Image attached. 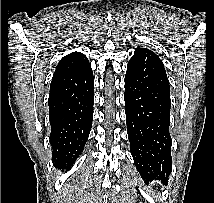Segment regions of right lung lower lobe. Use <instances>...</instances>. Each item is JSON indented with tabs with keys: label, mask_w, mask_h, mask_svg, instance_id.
I'll list each match as a JSON object with an SVG mask.
<instances>
[{
	"label": "right lung lower lobe",
	"mask_w": 214,
	"mask_h": 203,
	"mask_svg": "<svg viewBox=\"0 0 214 203\" xmlns=\"http://www.w3.org/2000/svg\"><path fill=\"white\" fill-rule=\"evenodd\" d=\"M94 77L90 63L52 79L48 98L50 143L57 168L69 170L82 153L93 120Z\"/></svg>",
	"instance_id": "right-lung-lower-lobe-1"
}]
</instances>
